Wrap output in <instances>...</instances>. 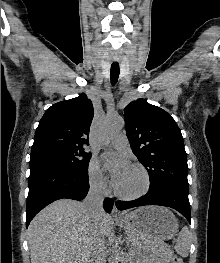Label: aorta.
<instances>
[{
    "label": "aorta",
    "mask_w": 220,
    "mask_h": 263,
    "mask_svg": "<svg viewBox=\"0 0 220 263\" xmlns=\"http://www.w3.org/2000/svg\"><path fill=\"white\" fill-rule=\"evenodd\" d=\"M124 124V119L122 117H108L102 127L103 138L107 139L119 132L124 127ZM112 263H118L116 255H112Z\"/></svg>",
    "instance_id": "762f6f07"
}]
</instances>
